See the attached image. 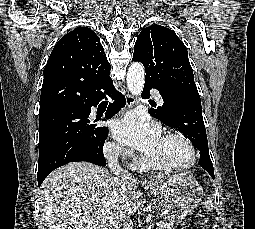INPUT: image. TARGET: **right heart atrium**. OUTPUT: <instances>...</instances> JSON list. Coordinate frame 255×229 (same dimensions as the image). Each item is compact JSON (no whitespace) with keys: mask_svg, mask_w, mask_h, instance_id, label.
<instances>
[{"mask_svg":"<svg viewBox=\"0 0 255 229\" xmlns=\"http://www.w3.org/2000/svg\"><path fill=\"white\" fill-rule=\"evenodd\" d=\"M104 153L110 158L130 159L134 157L132 151L124 149L123 146L115 142H107L104 146Z\"/></svg>","mask_w":255,"mask_h":229,"instance_id":"obj_1","label":"right heart atrium"}]
</instances>
